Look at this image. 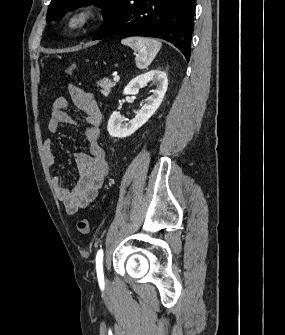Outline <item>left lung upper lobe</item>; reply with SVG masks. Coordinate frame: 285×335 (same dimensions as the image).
<instances>
[{
  "label": "left lung upper lobe",
  "mask_w": 285,
  "mask_h": 335,
  "mask_svg": "<svg viewBox=\"0 0 285 335\" xmlns=\"http://www.w3.org/2000/svg\"><path fill=\"white\" fill-rule=\"evenodd\" d=\"M119 0H51L48 6L47 21L56 20L81 5L100 4L103 8V18L112 10Z\"/></svg>",
  "instance_id": "1"
}]
</instances>
